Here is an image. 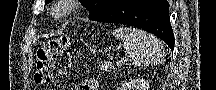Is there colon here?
Returning a JSON list of instances; mask_svg holds the SVG:
<instances>
[{
	"label": "colon",
	"mask_w": 216,
	"mask_h": 90,
	"mask_svg": "<svg viewBox=\"0 0 216 90\" xmlns=\"http://www.w3.org/2000/svg\"><path fill=\"white\" fill-rule=\"evenodd\" d=\"M67 46L68 38L62 36L57 39H51L38 47L34 74V82L37 85L46 84L51 80L54 61L59 54L65 51Z\"/></svg>",
	"instance_id": "5ec220e1"
}]
</instances>
